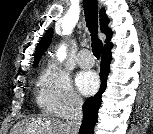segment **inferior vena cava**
I'll use <instances>...</instances> for the list:
<instances>
[{
	"mask_svg": "<svg viewBox=\"0 0 153 134\" xmlns=\"http://www.w3.org/2000/svg\"><path fill=\"white\" fill-rule=\"evenodd\" d=\"M82 106L83 101L80 98L74 99L64 117L63 123L64 134H78L82 122Z\"/></svg>",
	"mask_w": 153,
	"mask_h": 134,
	"instance_id": "obj_1",
	"label": "inferior vena cava"
}]
</instances>
